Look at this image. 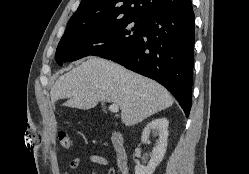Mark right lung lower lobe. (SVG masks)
<instances>
[{
  "label": "right lung lower lobe",
  "mask_w": 249,
  "mask_h": 174,
  "mask_svg": "<svg viewBox=\"0 0 249 174\" xmlns=\"http://www.w3.org/2000/svg\"><path fill=\"white\" fill-rule=\"evenodd\" d=\"M195 15L192 4L158 12L144 22L140 38L100 57L152 78L167 88L188 117L192 101Z\"/></svg>",
  "instance_id": "right-lung-lower-lobe-1"
}]
</instances>
